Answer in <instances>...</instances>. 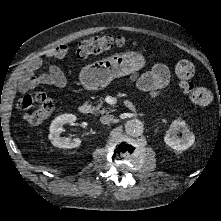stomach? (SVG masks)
Segmentation results:
<instances>
[{"instance_id":"obj_1","label":"stomach","mask_w":221,"mask_h":221,"mask_svg":"<svg viewBox=\"0 0 221 221\" xmlns=\"http://www.w3.org/2000/svg\"><path fill=\"white\" fill-rule=\"evenodd\" d=\"M145 63V58L140 53H116L85 66L79 78L86 89L98 90L109 85L114 78L136 73Z\"/></svg>"}]
</instances>
